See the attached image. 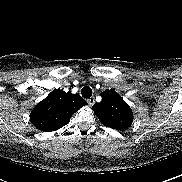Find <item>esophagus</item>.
<instances>
[{
    "instance_id": "esophagus-1",
    "label": "esophagus",
    "mask_w": 182,
    "mask_h": 182,
    "mask_svg": "<svg viewBox=\"0 0 182 182\" xmlns=\"http://www.w3.org/2000/svg\"><path fill=\"white\" fill-rule=\"evenodd\" d=\"M87 103H88L89 106H92L95 103V98L94 97L88 98Z\"/></svg>"
}]
</instances>
